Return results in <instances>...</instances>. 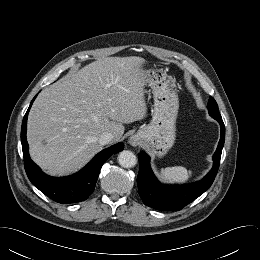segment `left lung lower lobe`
I'll list each match as a JSON object with an SVG mask.
<instances>
[{
	"label": "left lung lower lobe",
	"instance_id": "1",
	"mask_svg": "<svg viewBox=\"0 0 260 260\" xmlns=\"http://www.w3.org/2000/svg\"><path fill=\"white\" fill-rule=\"evenodd\" d=\"M216 120L221 126V138L213 155V167L199 182L183 186H167L161 184L154 176L144 152L139 154L140 169L137 177L138 193L145 205L157 210L178 211L203 194L213 183L217 174L222 148L225 140V126L221 119Z\"/></svg>",
	"mask_w": 260,
	"mask_h": 260
}]
</instances>
